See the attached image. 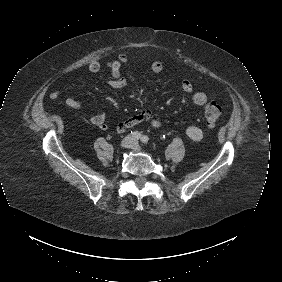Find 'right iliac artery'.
I'll return each mask as SVG.
<instances>
[{
	"label": "right iliac artery",
	"mask_w": 282,
	"mask_h": 282,
	"mask_svg": "<svg viewBox=\"0 0 282 282\" xmlns=\"http://www.w3.org/2000/svg\"><path fill=\"white\" fill-rule=\"evenodd\" d=\"M131 136L133 137V139H139L141 138V134L138 131H131Z\"/></svg>",
	"instance_id": "obj_1"
}]
</instances>
